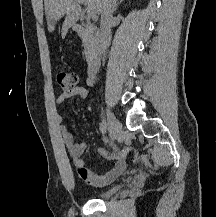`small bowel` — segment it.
<instances>
[{
    "label": "small bowel",
    "mask_w": 216,
    "mask_h": 217,
    "mask_svg": "<svg viewBox=\"0 0 216 217\" xmlns=\"http://www.w3.org/2000/svg\"><path fill=\"white\" fill-rule=\"evenodd\" d=\"M95 82V75H89L86 80L87 85L91 86ZM88 89L83 86H76L74 89L65 91L61 93L57 99L56 104L58 106H63L67 100L73 97H78L85 99L88 96ZM58 122L60 125L61 134L63 137V142L65 147L72 159L74 166L76 167L78 177L85 183L92 186H104L110 184L116 180L124 171L126 164V152L118 151L115 153H109L103 148L98 149V153L109 159H114L115 164L113 168L106 172L105 174H95L91 169H89L83 160V155L87 150L86 142H76L74 136L68 131L66 125L64 124L61 115L58 116Z\"/></svg>",
    "instance_id": "obj_1"
}]
</instances>
